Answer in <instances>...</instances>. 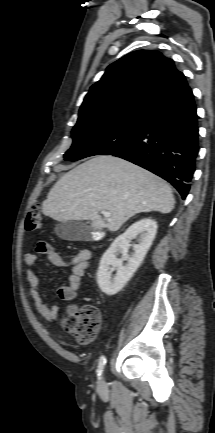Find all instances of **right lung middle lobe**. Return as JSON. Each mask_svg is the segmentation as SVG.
<instances>
[{"label": "right lung middle lobe", "instance_id": "1", "mask_svg": "<svg viewBox=\"0 0 215 433\" xmlns=\"http://www.w3.org/2000/svg\"><path fill=\"white\" fill-rule=\"evenodd\" d=\"M144 115H123L107 119L77 122L72 130L73 144L65 160L108 154L130 143L140 131Z\"/></svg>", "mask_w": 215, "mask_h": 433}]
</instances>
